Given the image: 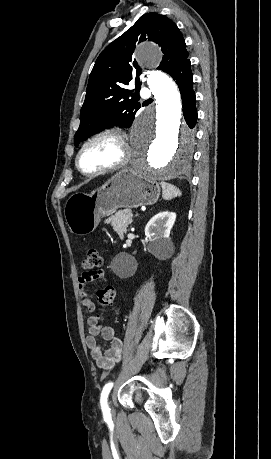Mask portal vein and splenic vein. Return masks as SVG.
<instances>
[{"label": "portal vein and splenic vein", "instance_id": "obj_1", "mask_svg": "<svg viewBox=\"0 0 271 459\" xmlns=\"http://www.w3.org/2000/svg\"><path fill=\"white\" fill-rule=\"evenodd\" d=\"M127 217H133V213L129 212V214L126 215Z\"/></svg>", "mask_w": 271, "mask_h": 459}]
</instances>
